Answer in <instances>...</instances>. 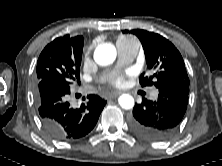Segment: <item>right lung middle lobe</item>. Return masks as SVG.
Listing matches in <instances>:
<instances>
[{
    "label": "right lung middle lobe",
    "mask_w": 222,
    "mask_h": 166,
    "mask_svg": "<svg viewBox=\"0 0 222 166\" xmlns=\"http://www.w3.org/2000/svg\"><path fill=\"white\" fill-rule=\"evenodd\" d=\"M72 40L64 49L44 48L37 61V80L55 76L71 83L79 78L84 39L76 36Z\"/></svg>",
    "instance_id": "obj_1"
}]
</instances>
